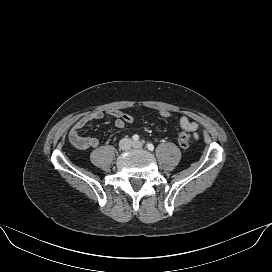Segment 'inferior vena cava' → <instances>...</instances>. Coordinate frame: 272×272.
Here are the masks:
<instances>
[{"mask_svg":"<svg viewBox=\"0 0 272 272\" xmlns=\"http://www.w3.org/2000/svg\"><path fill=\"white\" fill-rule=\"evenodd\" d=\"M129 141H130V140H129V139H126V138L122 139V140L120 141V147H121V148H128L129 146L126 145V144H127V143H130Z\"/></svg>","mask_w":272,"mask_h":272,"instance_id":"obj_1","label":"inferior vena cava"}]
</instances>
